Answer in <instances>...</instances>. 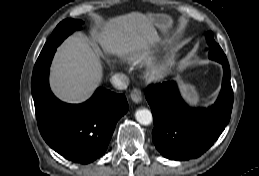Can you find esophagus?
Instances as JSON below:
<instances>
[{
    "label": "esophagus",
    "instance_id": "obj_1",
    "mask_svg": "<svg viewBox=\"0 0 259 176\" xmlns=\"http://www.w3.org/2000/svg\"><path fill=\"white\" fill-rule=\"evenodd\" d=\"M130 97L134 103H136V104L140 103L142 101L141 90L138 88L133 89L130 94Z\"/></svg>",
    "mask_w": 259,
    "mask_h": 176
}]
</instances>
